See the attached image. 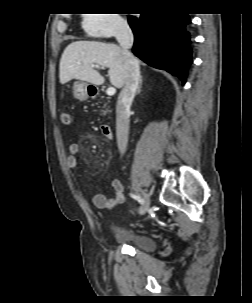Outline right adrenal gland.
<instances>
[{"instance_id":"obj_1","label":"right adrenal gland","mask_w":252,"mask_h":303,"mask_svg":"<svg viewBox=\"0 0 252 303\" xmlns=\"http://www.w3.org/2000/svg\"><path fill=\"white\" fill-rule=\"evenodd\" d=\"M141 87H142V76H140V79H139V86L137 89V94H139L141 92Z\"/></svg>"}]
</instances>
